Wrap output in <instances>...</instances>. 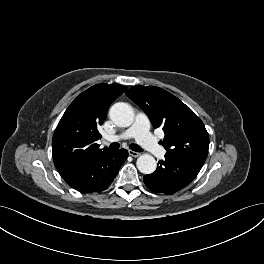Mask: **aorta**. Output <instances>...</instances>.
I'll use <instances>...</instances> for the list:
<instances>
[{
    "label": "aorta",
    "mask_w": 264,
    "mask_h": 264,
    "mask_svg": "<svg viewBox=\"0 0 264 264\" xmlns=\"http://www.w3.org/2000/svg\"><path fill=\"white\" fill-rule=\"evenodd\" d=\"M109 116L117 126L128 127L133 123L134 111L129 104L119 102L110 108ZM136 165L143 174H151L157 167L155 158L149 154L139 156Z\"/></svg>",
    "instance_id": "1"
}]
</instances>
